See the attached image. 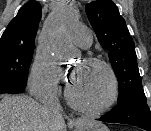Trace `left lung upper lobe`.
<instances>
[{
	"label": "left lung upper lobe",
	"mask_w": 151,
	"mask_h": 131,
	"mask_svg": "<svg viewBox=\"0 0 151 131\" xmlns=\"http://www.w3.org/2000/svg\"><path fill=\"white\" fill-rule=\"evenodd\" d=\"M85 10L98 41L109 51V59L119 82L118 105L134 96L146 98L135 44L117 6L112 0H97L86 4Z\"/></svg>",
	"instance_id": "5c2ea615"
}]
</instances>
